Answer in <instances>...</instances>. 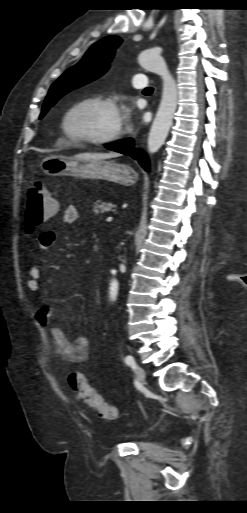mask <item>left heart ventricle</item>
Here are the masks:
<instances>
[{
	"label": "left heart ventricle",
	"instance_id": "b2bd125f",
	"mask_svg": "<svg viewBox=\"0 0 247 513\" xmlns=\"http://www.w3.org/2000/svg\"><path fill=\"white\" fill-rule=\"evenodd\" d=\"M120 123L118 111L104 105L90 104L76 109L70 119L73 133L103 136L114 131Z\"/></svg>",
	"mask_w": 247,
	"mask_h": 513
}]
</instances>
